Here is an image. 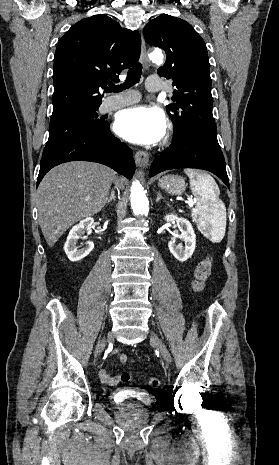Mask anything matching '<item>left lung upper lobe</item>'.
<instances>
[{
    "mask_svg": "<svg viewBox=\"0 0 279 465\" xmlns=\"http://www.w3.org/2000/svg\"><path fill=\"white\" fill-rule=\"evenodd\" d=\"M146 42L162 48L166 63L158 74L173 79L172 103L166 106L174 137L194 136L220 147L212 115L208 53L201 36L186 21L162 14L143 29Z\"/></svg>",
    "mask_w": 279,
    "mask_h": 465,
    "instance_id": "obj_1",
    "label": "left lung upper lobe"
}]
</instances>
